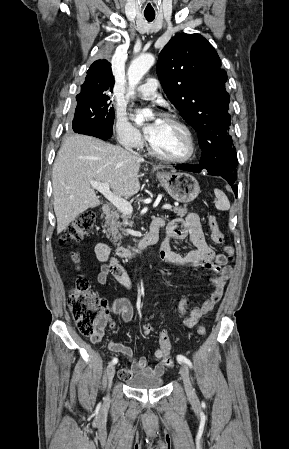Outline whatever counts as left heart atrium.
Wrapping results in <instances>:
<instances>
[{"label":"left heart atrium","mask_w":289,"mask_h":449,"mask_svg":"<svg viewBox=\"0 0 289 449\" xmlns=\"http://www.w3.org/2000/svg\"><path fill=\"white\" fill-rule=\"evenodd\" d=\"M159 119H154L146 128H145V133L147 138L150 137V135L153 132L154 127L157 125Z\"/></svg>","instance_id":"39dd6f15"}]
</instances>
